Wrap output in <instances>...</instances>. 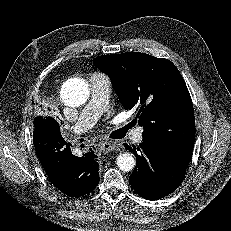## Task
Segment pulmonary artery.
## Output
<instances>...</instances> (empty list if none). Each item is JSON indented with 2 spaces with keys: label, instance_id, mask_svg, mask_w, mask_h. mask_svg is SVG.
Instances as JSON below:
<instances>
[{
  "label": "pulmonary artery",
  "instance_id": "1",
  "mask_svg": "<svg viewBox=\"0 0 231 231\" xmlns=\"http://www.w3.org/2000/svg\"><path fill=\"white\" fill-rule=\"evenodd\" d=\"M89 83L91 87V100L73 126L75 133H82L90 129L108 106L111 91L110 79L101 74H94L89 78ZM131 138L135 143H141L143 141V129H133L131 131Z\"/></svg>",
  "mask_w": 231,
  "mask_h": 231
}]
</instances>
